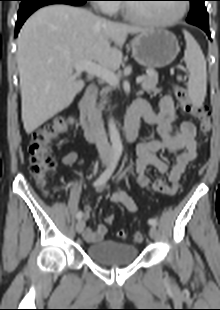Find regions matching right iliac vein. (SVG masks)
Masks as SVG:
<instances>
[{
  "instance_id": "63e3f726",
  "label": "right iliac vein",
  "mask_w": 220,
  "mask_h": 310,
  "mask_svg": "<svg viewBox=\"0 0 220 310\" xmlns=\"http://www.w3.org/2000/svg\"><path fill=\"white\" fill-rule=\"evenodd\" d=\"M110 162L109 157H104L102 158V164L103 165H108ZM85 228V221L83 219H80L77 224H76V231L78 234H81L84 231Z\"/></svg>"
}]
</instances>
